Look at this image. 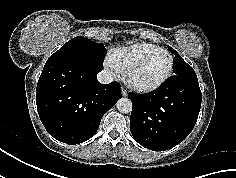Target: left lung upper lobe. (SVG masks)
<instances>
[{
    "mask_svg": "<svg viewBox=\"0 0 236 178\" xmlns=\"http://www.w3.org/2000/svg\"><path fill=\"white\" fill-rule=\"evenodd\" d=\"M169 49L171 50V52L173 51L174 54L176 55L175 59H174V73L177 76H191L194 77L196 76V73L194 71V69L187 64L181 56H179V54L173 50V48L169 47Z\"/></svg>",
    "mask_w": 236,
    "mask_h": 178,
    "instance_id": "obj_1",
    "label": "left lung upper lobe"
}]
</instances>
